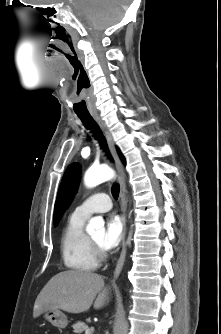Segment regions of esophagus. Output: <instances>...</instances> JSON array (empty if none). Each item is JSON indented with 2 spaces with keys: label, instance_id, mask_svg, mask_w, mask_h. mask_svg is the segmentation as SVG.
<instances>
[{
  "label": "esophagus",
  "instance_id": "obj_1",
  "mask_svg": "<svg viewBox=\"0 0 221 334\" xmlns=\"http://www.w3.org/2000/svg\"><path fill=\"white\" fill-rule=\"evenodd\" d=\"M96 121L98 122L99 126L101 127V129L103 130L110 152L114 158L115 161V165H116V169L118 171L119 174V180H120V203H121V221L123 224V238H122V250L120 253V257L117 261V265L114 271V278L113 281H115L122 268L124 265V261H125V257H126V251H127V240H126V232H127V227H126V208H127V203H126V176H125V172H124V167L123 164L119 158L118 152L116 150L115 144L113 142V139L110 135V133L108 132L105 124L103 123V121L100 119V117L98 115L94 116Z\"/></svg>",
  "mask_w": 221,
  "mask_h": 334
}]
</instances>
